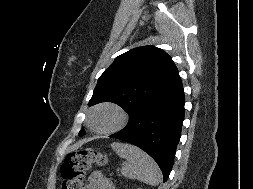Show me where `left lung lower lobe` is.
Segmentation results:
<instances>
[{
  "label": "left lung lower lobe",
  "mask_w": 253,
  "mask_h": 189,
  "mask_svg": "<svg viewBox=\"0 0 253 189\" xmlns=\"http://www.w3.org/2000/svg\"><path fill=\"white\" fill-rule=\"evenodd\" d=\"M184 104L179 78L165 93L132 116L125 128L110 137L134 144L147 152L159 165L165 182L181 136Z\"/></svg>",
  "instance_id": "0a47b994"
}]
</instances>
